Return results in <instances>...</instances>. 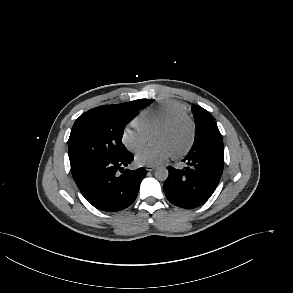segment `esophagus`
<instances>
[{
	"label": "esophagus",
	"instance_id": "1",
	"mask_svg": "<svg viewBox=\"0 0 293 293\" xmlns=\"http://www.w3.org/2000/svg\"><path fill=\"white\" fill-rule=\"evenodd\" d=\"M155 168H156L155 166H147L146 170L147 171H153V170H155Z\"/></svg>",
	"mask_w": 293,
	"mask_h": 293
}]
</instances>
